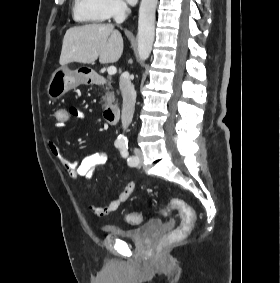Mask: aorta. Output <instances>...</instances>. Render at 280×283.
Masks as SVG:
<instances>
[{
	"mask_svg": "<svg viewBox=\"0 0 280 283\" xmlns=\"http://www.w3.org/2000/svg\"><path fill=\"white\" fill-rule=\"evenodd\" d=\"M158 0H141L138 20V54L142 61L148 59L151 54L155 37V12ZM119 141L126 140L120 136Z\"/></svg>",
	"mask_w": 280,
	"mask_h": 283,
	"instance_id": "obj_1",
	"label": "aorta"
}]
</instances>
